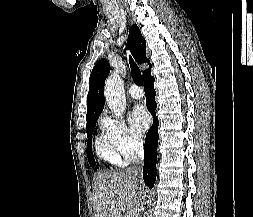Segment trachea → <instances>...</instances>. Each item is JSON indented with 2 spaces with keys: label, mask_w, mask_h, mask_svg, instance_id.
Returning <instances> with one entry per match:
<instances>
[{
  "label": "trachea",
  "mask_w": 253,
  "mask_h": 217,
  "mask_svg": "<svg viewBox=\"0 0 253 217\" xmlns=\"http://www.w3.org/2000/svg\"><path fill=\"white\" fill-rule=\"evenodd\" d=\"M129 61H130V68H131V73H132V77H133L134 81L138 85H142L143 78H142L141 72H140L137 64L134 62V60L131 57H130Z\"/></svg>",
  "instance_id": "3493384b"
}]
</instances>
